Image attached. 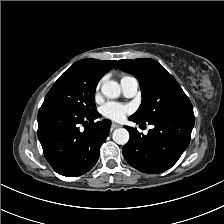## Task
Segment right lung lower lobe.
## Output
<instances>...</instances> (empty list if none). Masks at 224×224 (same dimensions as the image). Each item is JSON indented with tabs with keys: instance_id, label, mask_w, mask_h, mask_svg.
<instances>
[{
	"instance_id": "98d812e1",
	"label": "right lung lower lobe",
	"mask_w": 224,
	"mask_h": 224,
	"mask_svg": "<svg viewBox=\"0 0 224 224\" xmlns=\"http://www.w3.org/2000/svg\"><path fill=\"white\" fill-rule=\"evenodd\" d=\"M98 117L97 111L79 114L57 105L42 104L37 134L47 161L57 173L78 176L96 164L111 127V121L106 119L94 123ZM80 124L86 126L83 131Z\"/></svg>"
}]
</instances>
